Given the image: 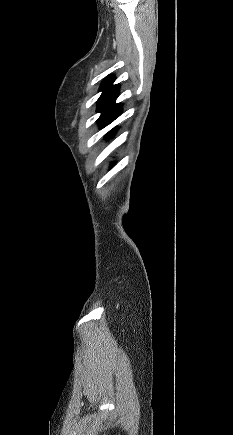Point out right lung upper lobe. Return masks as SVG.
<instances>
[{
	"instance_id": "cb5924a9",
	"label": "right lung upper lobe",
	"mask_w": 233,
	"mask_h": 435,
	"mask_svg": "<svg viewBox=\"0 0 233 435\" xmlns=\"http://www.w3.org/2000/svg\"><path fill=\"white\" fill-rule=\"evenodd\" d=\"M115 78L111 75L104 79L99 91H103L97 101V112H101V116H116L118 117L122 110L121 104H115V100L119 95V84L113 85Z\"/></svg>"
}]
</instances>
